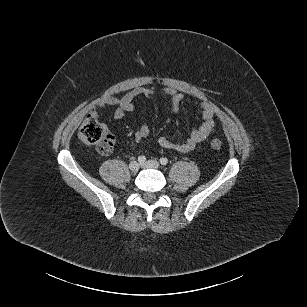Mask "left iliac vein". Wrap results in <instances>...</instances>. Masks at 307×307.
<instances>
[{
	"instance_id": "left-iliac-vein-1",
	"label": "left iliac vein",
	"mask_w": 307,
	"mask_h": 307,
	"mask_svg": "<svg viewBox=\"0 0 307 307\" xmlns=\"http://www.w3.org/2000/svg\"><path fill=\"white\" fill-rule=\"evenodd\" d=\"M143 168H152V169H158L160 167L159 162L156 160H149L141 164Z\"/></svg>"
}]
</instances>
